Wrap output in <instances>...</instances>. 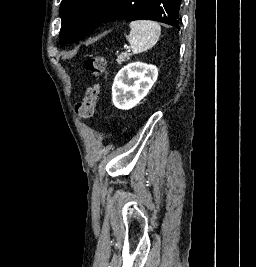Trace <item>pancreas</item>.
Here are the masks:
<instances>
[{
    "instance_id": "obj_1",
    "label": "pancreas",
    "mask_w": 256,
    "mask_h": 267,
    "mask_svg": "<svg viewBox=\"0 0 256 267\" xmlns=\"http://www.w3.org/2000/svg\"><path fill=\"white\" fill-rule=\"evenodd\" d=\"M127 60H129L128 54H120V56H118L116 62H118L119 66H121L122 62H127Z\"/></svg>"
}]
</instances>
